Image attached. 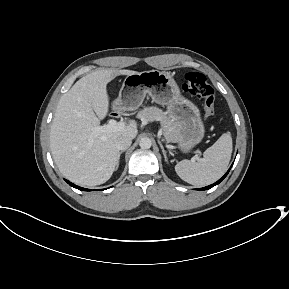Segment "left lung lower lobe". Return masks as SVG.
Masks as SVG:
<instances>
[{"label":"left lung lower lobe","instance_id":"1","mask_svg":"<svg viewBox=\"0 0 289 289\" xmlns=\"http://www.w3.org/2000/svg\"><path fill=\"white\" fill-rule=\"evenodd\" d=\"M229 171H230V169L227 171V173H226L221 179H219V180H218L217 182H215L214 184H211V185H209V186H206V187H204V188H200V189H197V190H207V189H210V188H212L213 186L219 184V183L227 176V174L229 173Z\"/></svg>","mask_w":289,"mask_h":289}]
</instances>
